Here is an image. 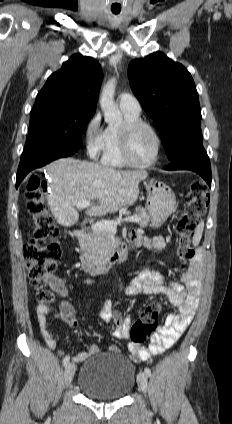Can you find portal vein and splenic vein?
Here are the masks:
<instances>
[{"instance_id":"obj_1","label":"portal vein and splenic vein","mask_w":232,"mask_h":424,"mask_svg":"<svg viewBox=\"0 0 232 424\" xmlns=\"http://www.w3.org/2000/svg\"><path fill=\"white\" fill-rule=\"evenodd\" d=\"M90 204H91L90 200L80 201V202L76 203V208L77 209H84V208L90 206ZM138 221H139V218L137 216H131V217H126L124 219H118V220H114V221H108V220L99 221V222L92 224L91 227L94 230H107V231L116 232L117 225L121 224V222H138Z\"/></svg>"}]
</instances>
